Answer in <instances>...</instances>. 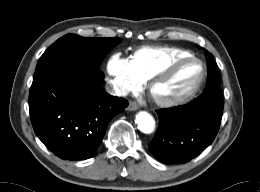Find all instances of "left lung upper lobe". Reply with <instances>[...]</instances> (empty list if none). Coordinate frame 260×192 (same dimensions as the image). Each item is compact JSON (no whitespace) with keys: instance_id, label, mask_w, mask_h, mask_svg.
Wrapping results in <instances>:
<instances>
[{"instance_id":"1","label":"left lung upper lobe","mask_w":260,"mask_h":192,"mask_svg":"<svg viewBox=\"0 0 260 192\" xmlns=\"http://www.w3.org/2000/svg\"><path fill=\"white\" fill-rule=\"evenodd\" d=\"M206 57L208 60V81L204 93H209V92L221 93L217 64L211 53L207 52Z\"/></svg>"}]
</instances>
